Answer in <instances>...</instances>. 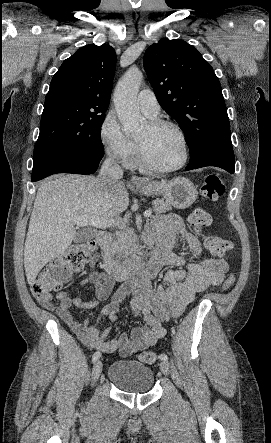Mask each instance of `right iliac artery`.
Here are the masks:
<instances>
[{"label": "right iliac artery", "instance_id": "obj_1", "mask_svg": "<svg viewBox=\"0 0 271 443\" xmlns=\"http://www.w3.org/2000/svg\"><path fill=\"white\" fill-rule=\"evenodd\" d=\"M101 357V352L97 351L92 356V362L97 361Z\"/></svg>", "mask_w": 271, "mask_h": 443}]
</instances>
